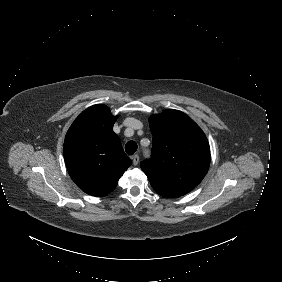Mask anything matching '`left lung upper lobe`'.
Returning a JSON list of instances; mask_svg holds the SVG:
<instances>
[{
  "instance_id": "obj_1",
  "label": "left lung upper lobe",
  "mask_w": 282,
  "mask_h": 282,
  "mask_svg": "<svg viewBox=\"0 0 282 282\" xmlns=\"http://www.w3.org/2000/svg\"><path fill=\"white\" fill-rule=\"evenodd\" d=\"M152 158L141 168L158 187L194 189L210 165V147L206 135L185 113L164 110L152 115Z\"/></svg>"
}]
</instances>
